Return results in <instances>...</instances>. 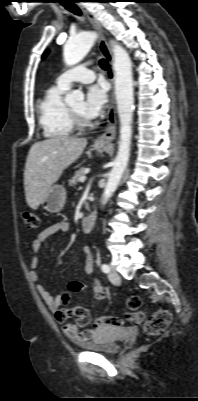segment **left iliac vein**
Returning <instances> with one entry per match:
<instances>
[{
    "instance_id": "1",
    "label": "left iliac vein",
    "mask_w": 198,
    "mask_h": 401,
    "mask_svg": "<svg viewBox=\"0 0 198 401\" xmlns=\"http://www.w3.org/2000/svg\"><path fill=\"white\" fill-rule=\"evenodd\" d=\"M108 279L113 283V284H118L120 283V275L115 269H111L108 273Z\"/></svg>"
}]
</instances>
